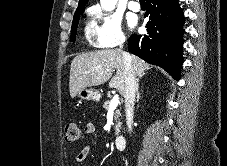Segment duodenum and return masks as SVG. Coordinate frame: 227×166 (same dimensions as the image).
I'll list each match as a JSON object with an SVG mask.
<instances>
[{
	"label": "duodenum",
	"instance_id": "410a0bca",
	"mask_svg": "<svg viewBox=\"0 0 227 166\" xmlns=\"http://www.w3.org/2000/svg\"><path fill=\"white\" fill-rule=\"evenodd\" d=\"M115 146L118 150H124L126 147V138L125 136H118L115 139Z\"/></svg>",
	"mask_w": 227,
	"mask_h": 166
}]
</instances>
